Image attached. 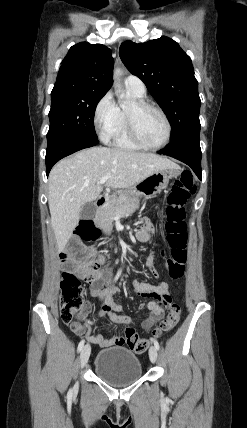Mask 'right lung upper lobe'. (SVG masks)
<instances>
[{
  "instance_id": "right-lung-upper-lobe-1",
  "label": "right lung upper lobe",
  "mask_w": 247,
  "mask_h": 428,
  "mask_svg": "<svg viewBox=\"0 0 247 428\" xmlns=\"http://www.w3.org/2000/svg\"><path fill=\"white\" fill-rule=\"evenodd\" d=\"M111 50L101 44L81 42L72 46L62 61L51 94L85 90L106 93L112 86Z\"/></svg>"
}]
</instances>
